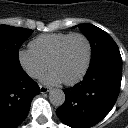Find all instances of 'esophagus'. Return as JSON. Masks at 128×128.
I'll list each match as a JSON object with an SVG mask.
<instances>
[{"label":"esophagus","instance_id":"34e87169","mask_svg":"<svg viewBox=\"0 0 128 128\" xmlns=\"http://www.w3.org/2000/svg\"><path fill=\"white\" fill-rule=\"evenodd\" d=\"M49 90L50 89L48 87H46V86H43V85L40 86V92L42 94L49 92Z\"/></svg>","mask_w":128,"mask_h":128}]
</instances>
